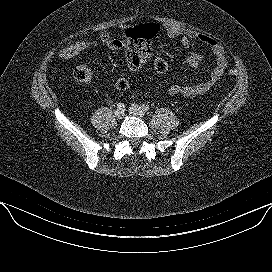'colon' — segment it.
Listing matches in <instances>:
<instances>
[{
  "mask_svg": "<svg viewBox=\"0 0 272 272\" xmlns=\"http://www.w3.org/2000/svg\"><path fill=\"white\" fill-rule=\"evenodd\" d=\"M158 30L159 28L157 24L145 23L135 26L133 31L146 46H150V40L157 34ZM97 41L98 40L92 36L79 38L66 47H63L59 52V56L63 59L72 58L93 47ZM154 70L157 74H165L168 70L167 62L162 58H156L154 61ZM228 73L230 76H237L236 69H230ZM73 76L74 79L80 83H88L93 78V72L88 65L81 64L74 69ZM129 86L130 82L126 78H119L114 83V87L119 91L126 90Z\"/></svg>",
  "mask_w": 272,
  "mask_h": 272,
  "instance_id": "5ec220e1",
  "label": "colon"
}]
</instances>
